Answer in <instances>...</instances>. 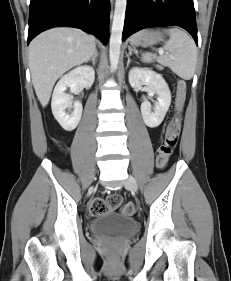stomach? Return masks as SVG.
Returning a JSON list of instances; mask_svg holds the SVG:
<instances>
[{"instance_id":"stomach-1","label":"stomach","mask_w":231,"mask_h":281,"mask_svg":"<svg viewBox=\"0 0 231 281\" xmlns=\"http://www.w3.org/2000/svg\"><path fill=\"white\" fill-rule=\"evenodd\" d=\"M162 40V35L158 31L143 30L130 39V42L134 46H148L158 43Z\"/></svg>"}]
</instances>
